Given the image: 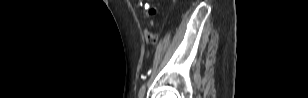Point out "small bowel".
Segmentation results:
<instances>
[{
	"instance_id": "obj_1",
	"label": "small bowel",
	"mask_w": 308,
	"mask_h": 98,
	"mask_svg": "<svg viewBox=\"0 0 308 98\" xmlns=\"http://www.w3.org/2000/svg\"><path fill=\"white\" fill-rule=\"evenodd\" d=\"M148 33H151V32H149L147 29H145V35L148 34Z\"/></svg>"
}]
</instances>
